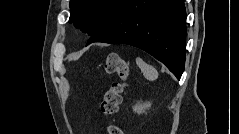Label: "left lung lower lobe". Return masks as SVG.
I'll return each instance as SVG.
<instances>
[{"label":"left lung lower lobe","mask_w":239,"mask_h":134,"mask_svg":"<svg viewBox=\"0 0 239 134\" xmlns=\"http://www.w3.org/2000/svg\"><path fill=\"white\" fill-rule=\"evenodd\" d=\"M186 10L183 0H124L93 42L138 47L180 79L185 64Z\"/></svg>","instance_id":"obj_1"}]
</instances>
